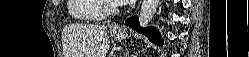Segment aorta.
Wrapping results in <instances>:
<instances>
[{
  "label": "aorta",
  "mask_w": 249,
  "mask_h": 57,
  "mask_svg": "<svg viewBox=\"0 0 249 57\" xmlns=\"http://www.w3.org/2000/svg\"><path fill=\"white\" fill-rule=\"evenodd\" d=\"M159 4V0H143L139 13V23L142 27H147L152 21Z\"/></svg>",
  "instance_id": "762f6f07"
}]
</instances>
